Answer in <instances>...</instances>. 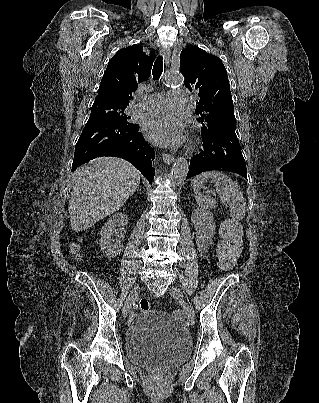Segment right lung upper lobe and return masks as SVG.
<instances>
[{
  "label": "right lung upper lobe",
  "mask_w": 319,
  "mask_h": 403,
  "mask_svg": "<svg viewBox=\"0 0 319 403\" xmlns=\"http://www.w3.org/2000/svg\"><path fill=\"white\" fill-rule=\"evenodd\" d=\"M154 52L139 45L119 50L109 61L94 103L128 106L137 85L150 76Z\"/></svg>",
  "instance_id": "obj_1"
}]
</instances>
